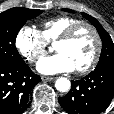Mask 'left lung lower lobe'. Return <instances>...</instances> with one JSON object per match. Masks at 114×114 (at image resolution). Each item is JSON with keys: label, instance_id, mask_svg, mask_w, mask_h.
<instances>
[{"label": "left lung lower lobe", "instance_id": "1", "mask_svg": "<svg viewBox=\"0 0 114 114\" xmlns=\"http://www.w3.org/2000/svg\"><path fill=\"white\" fill-rule=\"evenodd\" d=\"M114 96V65L96 67L81 80L72 81V88L59 103L69 114H99Z\"/></svg>", "mask_w": 114, "mask_h": 114}]
</instances>
